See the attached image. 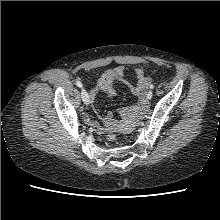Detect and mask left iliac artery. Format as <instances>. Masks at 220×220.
I'll list each match as a JSON object with an SVG mask.
<instances>
[{"mask_svg":"<svg viewBox=\"0 0 220 220\" xmlns=\"http://www.w3.org/2000/svg\"><path fill=\"white\" fill-rule=\"evenodd\" d=\"M153 88H154V85H153V84H151V85H150V89H153Z\"/></svg>","mask_w":220,"mask_h":220,"instance_id":"left-iliac-artery-1","label":"left iliac artery"}]
</instances>
